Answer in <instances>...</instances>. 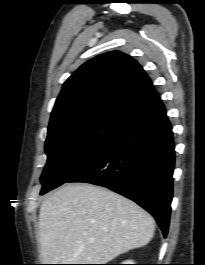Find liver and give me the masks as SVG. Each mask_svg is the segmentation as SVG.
<instances>
[{
    "label": "liver",
    "mask_w": 205,
    "mask_h": 265,
    "mask_svg": "<svg viewBox=\"0 0 205 265\" xmlns=\"http://www.w3.org/2000/svg\"><path fill=\"white\" fill-rule=\"evenodd\" d=\"M154 219L133 201L92 184H66L39 212L45 264H106L153 238Z\"/></svg>",
    "instance_id": "1"
}]
</instances>
